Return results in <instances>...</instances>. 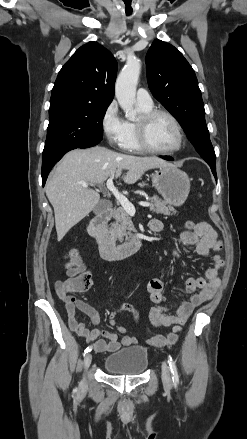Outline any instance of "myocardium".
I'll list each match as a JSON object with an SVG mask.
<instances>
[{"label": "myocardium", "mask_w": 247, "mask_h": 439, "mask_svg": "<svg viewBox=\"0 0 247 439\" xmlns=\"http://www.w3.org/2000/svg\"><path fill=\"white\" fill-rule=\"evenodd\" d=\"M159 115H163L168 117L172 123L174 124L177 134H178V141L175 147L168 149V150H160L152 147L148 140V127L150 122ZM136 133H137V140L140 145V147L149 153L152 154H158V155H172L178 152L184 144L185 135L184 130L177 119V117L165 109H151L149 111H146L141 114L140 118L136 122Z\"/></svg>", "instance_id": "myocardium-1"}]
</instances>
